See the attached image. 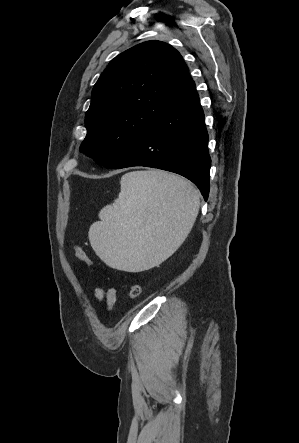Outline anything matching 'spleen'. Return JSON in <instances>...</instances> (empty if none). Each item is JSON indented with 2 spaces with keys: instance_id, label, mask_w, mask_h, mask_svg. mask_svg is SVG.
<instances>
[{
  "instance_id": "1",
  "label": "spleen",
  "mask_w": 299,
  "mask_h": 443,
  "mask_svg": "<svg viewBox=\"0 0 299 443\" xmlns=\"http://www.w3.org/2000/svg\"><path fill=\"white\" fill-rule=\"evenodd\" d=\"M118 198L89 229L95 253L109 267L140 272L159 265L184 242L200 196L182 177L160 170L122 176Z\"/></svg>"
}]
</instances>
